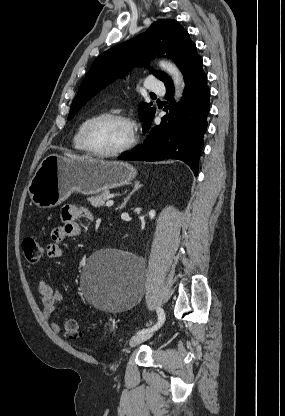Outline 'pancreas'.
Returning <instances> with one entry per match:
<instances>
[{
  "instance_id": "pancreas-1",
  "label": "pancreas",
  "mask_w": 285,
  "mask_h": 416,
  "mask_svg": "<svg viewBox=\"0 0 285 416\" xmlns=\"http://www.w3.org/2000/svg\"><path fill=\"white\" fill-rule=\"evenodd\" d=\"M109 190H106V192H102L100 196H92V198H87L88 202H91L92 206L94 208H102L104 206L105 200H109Z\"/></svg>"
}]
</instances>
